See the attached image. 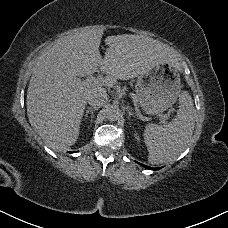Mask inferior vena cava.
<instances>
[{"instance_id": "obj_1", "label": "inferior vena cava", "mask_w": 228, "mask_h": 228, "mask_svg": "<svg viewBox=\"0 0 228 228\" xmlns=\"http://www.w3.org/2000/svg\"><path fill=\"white\" fill-rule=\"evenodd\" d=\"M108 100L106 91H92L87 96V102L94 108H100L105 105Z\"/></svg>"}]
</instances>
